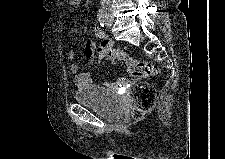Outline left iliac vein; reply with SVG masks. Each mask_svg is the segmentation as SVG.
Here are the masks:
<instances>
[{
	"label": "left iliac vein",
	"mask_w": 225,
	"mask_h": 159,
	"mask_svg": "<svg viewBox=\"0 0 225 159\" xmlns=\"http://www.w3.org/2000/svg\"><path fill=\"white\" fill-rule=\"evenodd\" d=\"M106 24L107 26H111L113 24V17L111 15H107Z\"/></svg>",
	"instance_id": "obj_1"
}]
</instances>
